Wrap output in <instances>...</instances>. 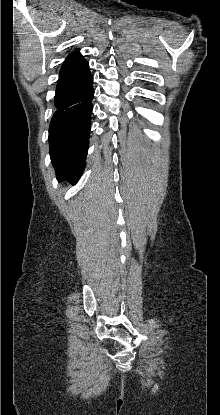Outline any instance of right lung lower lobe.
I'll use <instances>...</instances> for the list:
<instances>
[{
	"instance_id": "right-lung-lower-lobe-1",
	"label": "right lung lower lobe",
	"mask_w": 220,
	"mask_h": 415,
	"mask_svg": "<svg viewBox=\"0 0 220 415\" xmlns=\"http://www.w3.org/2000/svg\"><path fill=\"white\" fill-rule=\"evenodd\" d=\"M93 76L86 60L60 70L49 127L50 157L58 181L76 182L89 146Z\"/></svg>"
}]
</instances>
